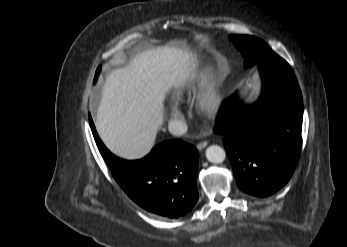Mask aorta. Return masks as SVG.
Instances as JSON below:
<instances>
[{"label":"aorta","mask_w":347,"mask_h":247,"mask_svg":"<svg viewBox=\"0 0 347 247\" xmlns=\"http://www.w3.org/2000/svg\"><path fill=\"white\" fill-rule=\"evenodd\" d=\"M206 158L211 163L220 164L223 163L226 157L224 149L218 145H211L206 149Z\"/></svg>","instance_id":"aorta-1"}]
</instances>
